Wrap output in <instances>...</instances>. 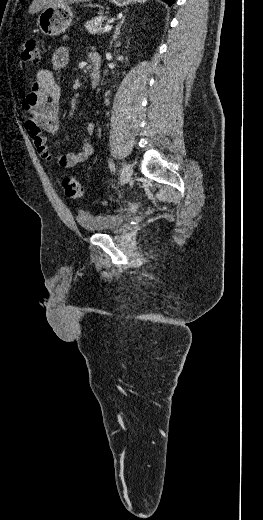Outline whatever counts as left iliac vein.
I'll use <instances>...</instances> for the list:
<instances>
[{
	"mask_svg": "<svg viewBox=\"0 0 263 520\" xmlns=\"http://www.w3.org/2000/svg\"><path fill=\"white\" fill-rule=\"evenodd\" d=\"M132 173H133L132 166L126 162L123 163L122 168H121V176H120L121 184H126L127 182H129L131 179Z\"/></svg>",
	"mask_w": 263,
	"mask_h": 520,
	"instance_id": "obj_1",
	"label": "left iliac vein"
}]
</instances>
